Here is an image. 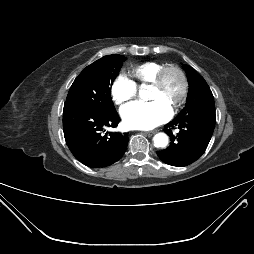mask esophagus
Wrapping results in <instances>:
<instances>
[{
    "instance_id": "1",
    "label": "esophagus",
    "mask_w": 254,
    "mask_h": 254,
    "mask_svg": "<svg viewBox=\"0 0 254 254\" xmlns=\"http://www.w3.org/2000/svg\"><path fill=\"white\" fill-rule=\"evenodd\" d=\"M155 133H156V131H147V132H145V134H147V135H153Z\"/></svg>"
}]
</instances>
